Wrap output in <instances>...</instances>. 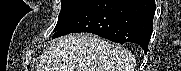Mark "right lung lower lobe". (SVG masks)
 I'll return each instance as SVG.
<instances>
[{"mask_svg": "<svg viewBox=\"0 0 181 71\" xmlns=\"http://www.w3.org/2000/svg\"><path fill=\"white\" fill-rule=\"evenodd\" d=\"M155 9V0H94L52 38L90 32L120 44H138L147 53Z\"/></svg>", "mask_w": 181, "mask_h": 71, "instance_id": "98d812e1", "label": "right lung lower lobe"}]
</instances>
